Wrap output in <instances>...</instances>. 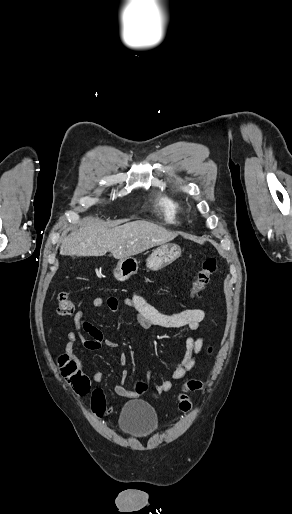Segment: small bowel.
Segmentation results:
<instances>
[{
  "label": "small bowel",
  "mask_w": 292,
  "mask_h": 514,
  "mask_svg": "<svg viewBox=\"0 0 292 514\" xmlns=\"http://www.w3.org/2000/svg\"><path fill=\"white\" fill-rule=\"evenodd\" d=\"M144 287L137 288L134 293L122 300L123 304L128 307L136 317L138 325L143 329H150L152 327H159L162 329H178L187 328L191 331L197 332L200 330L201 322L205 318V311L203 309H188L182 312L174 314H165L157 310L152 304H150L143 295ZM120 304V300L116 296H109L103 298L97 296L92 300V306L94 308H101L106 306L110 311H117ZM74 331H69L66 334V345L65 353L68 357L74 360V365L83 369V362L78 360L74 353L75 343L80 340L82 345L88 350H98L102 346L108 349L118 348V343L104 339L103 333L91 322L85 319L83 310L79 309L76 311L74 318ZM86 334L90 337L87 338ZM186 351L183 358L177 363L176 368L171 374L172 380L183 379L188 372H190L195 364L196 357L202 349L203 337L187 336L185 340ZM128 362V355L121 353L119 355V364L124 366ZM94 381L102 380V373L96 371L91 375ZM127 378V373L123 372L118 382L114 387L115 393L122 398H134L138 396L135 391H132L124 386V381ZM152 378V371H148L146 374L147 383H150ZM173 384L171 380L163 381L155 386L157 393L168 392L172 388ZM109 412H115V406L110 404L108 406Z\"/></svg>",
  "instance_id": "c3829d8e"
}]
</instances>
